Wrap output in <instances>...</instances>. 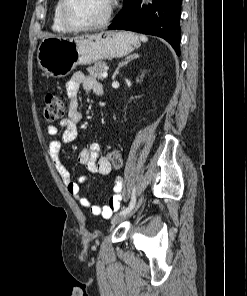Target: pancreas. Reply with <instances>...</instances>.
Masks as SVG:
<instances>
[{"label":"pancreas","mask_w":247,"mask_h":296,"mask_svg":"<svg viewBox=\"0 0 247 296\" xmlns=\"http://www.w3.org/2000/svg\"><path fill=\"white\" fill-rule=\"evenodd\" d=\"M107 63L100 61L97 62L94 66H90L87 68V71L89 72L90 76L95 79H101L102 73L106 71Z\"/></svg>","instance_id":"pancreas-1"}]
</instances>
